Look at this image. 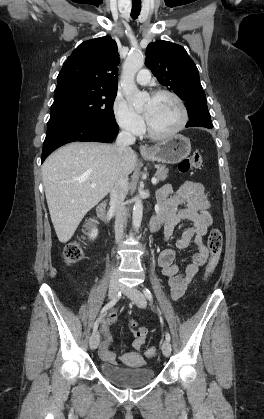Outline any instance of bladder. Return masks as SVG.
<instances>
[{"instance_id": "obj_1", "label": "bladder", "mask_w": 264, "mask_h": 419, "mask_svg": "<svg viewBox=\"0 0 264 419\" xmlns=\"http://www.w3.org/2000/svg\"><path fill=\"white\" fill-rule=\"evenodd\" d=\"M100 371L108 380L122 388L142 387L155 377L154 370L144 365L121 367L103 362L100 364Z\"/></svg>"}]
</instances>
